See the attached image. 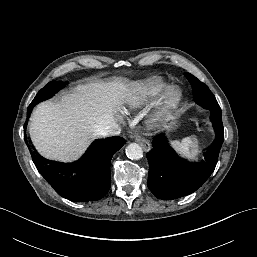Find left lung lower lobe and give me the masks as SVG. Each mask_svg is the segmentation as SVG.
<instances>
[{
    "label": "left lung lower lobe",
    "mask_w": 257,
    "mask_h": 257,
    "mask_svg": "<svg viewBox=\"0 0 257 257\" xmlns=\"http://www.w3.org/2000/svg\"><path fill=\"white\" fill-rule=\"evenodd\" d=\"M216 132L214 143L198 162L180 158L168 143L165 134L153 138V149L146 154L149 162L148 188L159 199L171 200L187 196L209 178L215 169L224 141L221 110L211 112Z\"/></svg>",
    "instance_id": "left-lung-lower-lobe-1"
}]
</instances>
